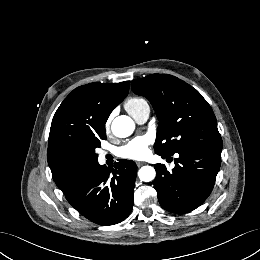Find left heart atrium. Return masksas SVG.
<instances>
[{
    "label": "left heart atrium",
    "instance_id": "left-heart-atrium-1",
    "mask_svg": "<svg viewBox=\"0 0 260 260\" xmlns=\"http://www.w3.org/2000/svg\"><path fill=\"white\" fill-rule=\"evenodd\" d=\"M150 139L146 136L137 137L118 149V155L127 159H142L148 154Z\"/></svg>",
    "mask_w": 260,
    "mask_h": 260
}]
</instances>
